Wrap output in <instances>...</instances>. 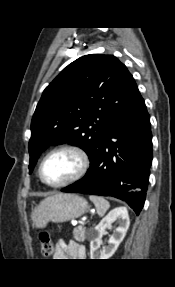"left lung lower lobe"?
Wrapping results in <instances>:
<instances>
[{"instance_id":"obj_1","label":"left lung lower lobe","mask_w":175,"mask_h":287,"mask_svg":"<svg viewBox=\"0 0 175 287\" xmlns=\"http://www.w3.org/2000/svg\"><path fill=\"white\" fill-rule=\"evenodd\" d=\"M151 163L150 116L138 93L132 106L107 130L86 175L61 191L112 196L128 203L138 215L145 202Z\"/></svg>"}]
</instances>
